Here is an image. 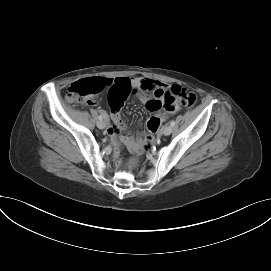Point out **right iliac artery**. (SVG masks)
Instances as JSON below:
<instances>
[{
	"label": "right iliac artery",
	"mask_w": 271,
	"mask_h": 271,
	"mask_svg": "<svg viewBox=\"0 0 271 271\" xmlns=\"http://www.w3.org/2000/svg\"><path fill=\"white\" fill-rule=\"evenodd\" d=\"M98 118H99V120H102V119H103V116H102V115H100Z\"/></svg>",
	"instance_id": "1"
}]
</instances>
